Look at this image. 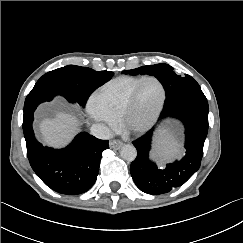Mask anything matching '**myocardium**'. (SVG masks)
I'll return each mask as SVG.
<instances>
[{
    "label": "myocardium",
    "instance_id": "obj_1",
    "mask_svg": "<svg viewBox=\"0 0 243 243\" xmlns=\"http://www.w3.org/2000/svg\"><path fill=\"white\" fill-rule=\"evenodd\" d=\"M148 81H154L159 85V87L161 89V98L159 100L157 107L153 110V112L149 116H147L140 124L134 125L130 122V113H131V110L135 104V101L137 99V96H138L142 86ZM166 97H167L166 89L160 79L153 77V76L145 77L134 88V90L131 92V94L127 98V100L121 110V113H120L119 119H120L121 125L133 133L140 134V133H144V132L148 131L158 120V118L164 108V105L166 102Z\"/></svg>",
    "mask_w": 243,
    "mask_h": 243
}]
</instances>
